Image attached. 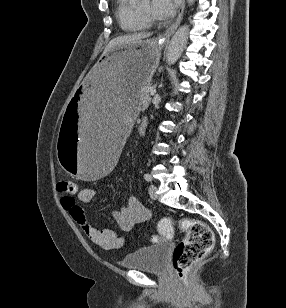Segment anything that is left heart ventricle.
<instances>
[{
	"mask_svg": "<svg viewBox=\"0 0 286 308\" xmlns=\"http://www.w3.org/2000/svg\"><path fill=\"white\" fill-rule=\"evenodd\" d=\"M138 9L146 14L151 15V2L150 1L145 2Z\"/></svg>",
	"mask_w": 286,
	"mask_h": 308,
	"instance_id": "1",
	"label": "left heart ventricle"
}]
</instances>
